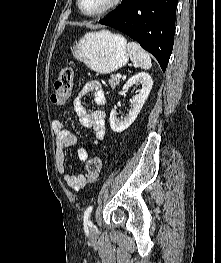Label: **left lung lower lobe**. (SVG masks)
Instances as JSON below:
<instances>
[{
  "label": "left lung lower lobe",
  "instance_id": "left-lung-lower-lobe-1",
  "mask_svg": "<svg viewBox=\"0 0 221 263\" xmlns=\"http://www.w3.org/2000/svg\"><path fill=\"white\" fill-rule=\"evenodd\" d=\"M178 0H122L99 21L115 28L153 54L165 71L174 43Z\"/></svg>",
  "mask_w": 221,
  "mask_h": 263
}]
</instances>
